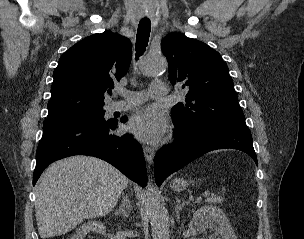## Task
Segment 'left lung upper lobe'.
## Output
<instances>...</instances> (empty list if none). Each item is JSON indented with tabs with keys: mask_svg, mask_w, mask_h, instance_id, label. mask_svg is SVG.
I'll return each mask as SVG.
<instances>
[{
	"mask_svg": "<svg viewBox=\"0 0 304 239\" xmlns=\"http://www.w3.org/2000/svg\"><path fill=\"white\" fill-rule=\"evenodd\" d=\"M172 84L188 91L186 104L172 108V118L188 134L219 125L246 126L233 81L221 55L207 44L180 33L161 42Z\"/></svg>",
	"mask_w": 304,
	"mask_h": 239,
	"instance_id": "obj_1",
	"label": "left lung upper lobe"
}]
</instances>
